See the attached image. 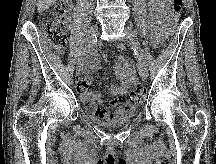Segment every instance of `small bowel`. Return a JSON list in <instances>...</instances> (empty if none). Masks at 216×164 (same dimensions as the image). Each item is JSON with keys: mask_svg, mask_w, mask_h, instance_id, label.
Masks as SVG:
<instances>
[{"mask_svg": "<svg viewBox=\"0 0 216 164\" xmlns=\"http://www.w3.org/2000/svg\"><path fill=\"white\" fill-rule=\"evenodd\" d=\"M171 3L172 0H149V24L155 45H158L163 38L164 25ZM97 64V55L93 54L87 61L85 72H92ZM114 69L119 83L110 86V93L114 98L106 107L102 106L103 100L99 92L88 90L91 84L89 77L79 79L76 83V89L86 109L98 119L111 120L118 117L123 111L131 109V105L125 103L123 97L137 81L134 63L118 57Z\"/></svg>", "mask_w": 216, "mask_h": 164, "instance_id": "1", "label": "small bowel"}]
</instances>
